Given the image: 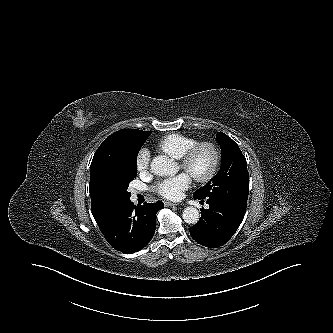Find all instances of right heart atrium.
I'll return each instance as SVG.
<instances>
[{
  "label": "right heart atrium",
  "mask_w": 333,
  "mask_h": 333,
  "mask_svg": "<svg viewBox=\"0 0 333 333\" xmlns=\"http://www.w3.org/2000/svg\"><path fill=\"white\" fill-rule=\"evenodd\" d=\"M150 159V152L146 148H142L138 151L135 158V165L139 173H145L148 170Z\"/></svg>",
  "instance_id": "obj_1"
}]
</instances>
